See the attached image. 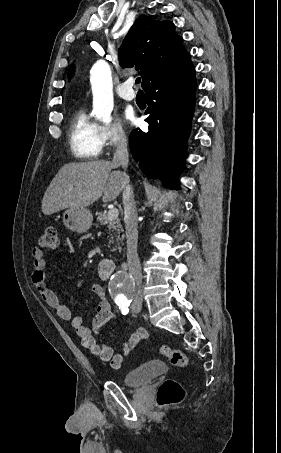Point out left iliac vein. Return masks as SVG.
<instances>
[{"label":"left iliac vein","mask_w":281,"mask_h":453,"mask_svg":"<svg viewBox=\"0 0 281 453\" xmlns=\"http://www.w3.org/2000/svg\"><path fill=\"white\" fill-rule=\"evenodd\" d=\"M143 306L139 303L138 305H132V313H141Z\"/></svg>","instance_id":"4c4485c4"}]
</instances>
